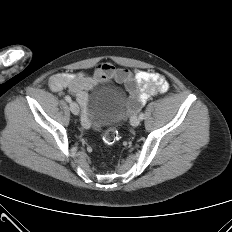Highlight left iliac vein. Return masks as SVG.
Wrapping results in <instances>:
<instances>
[{"mask_svg": "<svg viewBox=\"0 0 232 232\" xmlns=\"http://www.w3.org/2000/svg\"><path fill=\"white\" fill-rule=\"evenodd\" d=\"M130 123L132 126L137 127L140 124V119L137 116H132L130 119Z\"/></svg>", "mask_w": 232, "mask_h": 232, "instance_id": "left-iliac-vein-1", "label": "left iliac vein"}]
</instances>
